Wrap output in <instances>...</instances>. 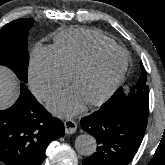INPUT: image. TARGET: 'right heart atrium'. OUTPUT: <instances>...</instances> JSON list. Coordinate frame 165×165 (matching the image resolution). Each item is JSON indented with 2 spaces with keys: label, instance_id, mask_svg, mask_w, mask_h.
<instances>
[{
  "label": "right heart atrium",
  "instance_id": "right-heart-atrium-1",
  "mask_svg": "<svg viewBox=\"0 0 165 165\" xmlns=\"http://www.w3.org/2000/svg\"><path fill=\"white\" fill-rule=\"evenodd\" d=\"M29 79L35 94L41 99H48L67 84L68 74L50 48L36 47L31 56Z\"/></svg>",
  "mask_w": 165,
  "mask_h": 165
}]
</instances>
